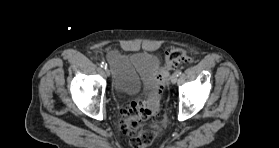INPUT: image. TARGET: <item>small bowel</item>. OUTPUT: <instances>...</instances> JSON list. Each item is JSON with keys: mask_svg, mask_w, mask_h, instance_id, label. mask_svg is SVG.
I'll return each mask as SVG.
<instances>
[{"mask_svg": "<svg viewBox=\"0 0 279 148\" xmlns=\"http://www.w3.org/2000/svg\"><path fill=\"white\" fill-rule=\"evenodd\" d=\"M108 59L114 67L116 88L136 93L139 90V78L125 58L117 53H111Z\"/></svg>", "mask_w": 279, "mask_h": 148, "instance_id": "c3829d8e", "label": "small bowel"}]
</instances>
